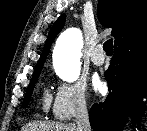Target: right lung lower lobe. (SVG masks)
<instances>
[{
	"mask_svg": "<svg viewBox=\"0 0 147 131\" xmlns=\"http://www.w3.org/2000/svg\"><path fill=\"white\" fill-rule=\"evenodd\" d=\"M109 95L90 110L94 131H121L128 116L137 119L144 110L147 93V29L115 46L114 56L105 72Z\"/></svg>",
	"mask_w": 147,
	"mask_h": 131,
	"instance_id": "98d812e1",
	"label": "right lung lower lobe"
}]
</instances>
